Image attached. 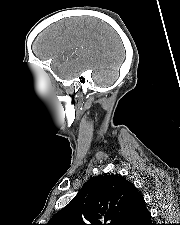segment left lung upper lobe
Segmentation results:
<instances>
[{"instance_id":"obj_1","label":"left lung upper lobe","mask_w":180,"mask_h":225,"mask_svg":"<svg viewBox=\"0 0 180 225\" xmlns=\"http://www.w3.org/2000/svg\"><path fill=\"white\" fill-rule=\"evenodd\" d=\"M145 206L141 193L126 178L92 177L47 225H124Z\"/></svg>"}]
</instances>
